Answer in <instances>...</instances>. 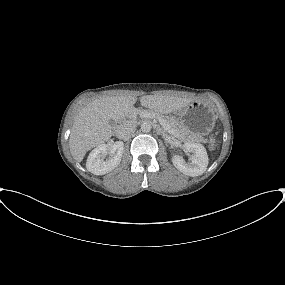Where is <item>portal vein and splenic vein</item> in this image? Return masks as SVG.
I'll use <instances>...</instances> for the list:
<instances>
[{
    "label": "portal vein and splenic vein",
    "mask_w": 285,
    "mask_h": 285,
    "mask_svg": "<svg viewBox=\"0 0 285 285\" xmlns=\"http://www.w3.org/2000/svg\"><path fill=\"white\" fill-rule=\"evenodd\" d=\"M142 116L146 117V118H153L154 117L150 113H143ZM159 123L165 130H170L169 125L165 121L159 119Z\"/></svg>",
    "instance_id": "18ae733b"
}]
</instances>
